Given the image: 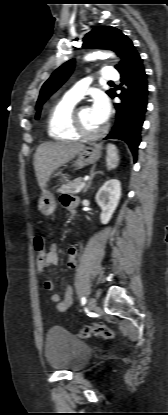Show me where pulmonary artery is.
<instances>
[{
    "mask_svg": "<svg viewBox=\"0 0 168 415\" xmlns=\"http://www.w3.org/2000/svg\"><path fill=\"white\" fill-rule=\"evenodd\" d=\"M102 77L107 81H117L119 79V74L113 67L106 66L102 69ZM90 83L91 78L80 80L67 91L66 96L80 100Z\"/></svg>",
    "mask_w": 168,
    "mask_h": 415,
    "instance_id": "e3ab8cb5",
    "label": "pulmonary artery"
}]
</instances>
